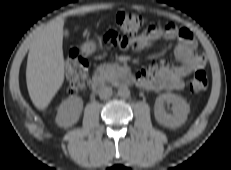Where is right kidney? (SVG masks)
Segmentation results:
<instances>
[{
  "mask_svg": "<svg viewBox=\"0 0 231 170\" xmlns=\"http://www.w3.org/2000/svg\"><path fill=\"white\" fill-rule=\"evenodd\" d=\"M82 109L83 100L77 96H70L60 104L56 123L61 127L74 125L79 120Z\"/></svg>",
  "mask_w": 231,
  "mask_h": 170,
  "instance_id": "1",
  "label": "right kidney"
}]
</instances>
